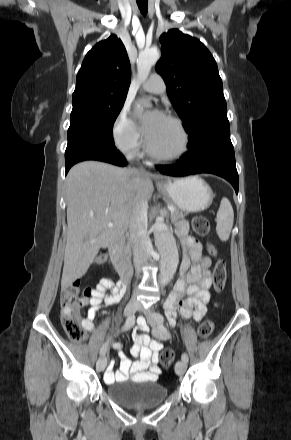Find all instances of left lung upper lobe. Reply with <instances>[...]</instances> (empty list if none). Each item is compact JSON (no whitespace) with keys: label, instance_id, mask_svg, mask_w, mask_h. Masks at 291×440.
<instances>
[{"label":"left lung upper lobe","instance_id":"left-lung-upper-lobe-1","mask_svg":"<svg viewBox=\"0 0 291 440\" xmlns=\"http://www.w3.org/2000/svg\"><path fill=\"white\" fill-rule=\"evenodd\" d=\"M156 71L193 145L208 132L229 127L222 80L209 50L198 39L171 29L160 37Z\"/></svg>","mask_w":291,"mask_h":440}]
</instances>
